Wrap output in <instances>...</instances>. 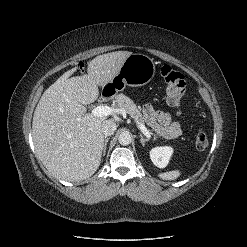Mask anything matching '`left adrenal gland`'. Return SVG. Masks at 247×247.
Returning a JSON list of instances; mask_svg holds the SVG:
<instances>
[{
  "mask_svg": "<svg viewBox=\"0 0 247 247\" xmlns=\"http://www.w3.org/2000/svg\"><path fill=\"white\" fill-rule=\"evenodd\" d=\"M140 141H141L142 146L144 147V146H145V143L148 141V139H145V138L143 137V135L140 134Z\"/></svg>",
  "mask_w": 247,
  "mask_h": 247,
  "instance_id": "a2214340",
  "label": "left adrenal gland"
}]
</instances>
